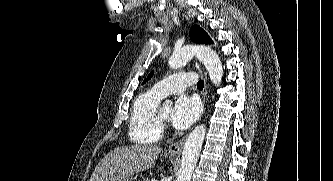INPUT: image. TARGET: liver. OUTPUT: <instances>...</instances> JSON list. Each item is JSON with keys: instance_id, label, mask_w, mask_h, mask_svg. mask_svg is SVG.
Here are the masks:
<instances>
[{"instance_id": "1", "label": "liver", "mask_w": 333, "mask_h": 181, "mask_svg": "<svg viewBox=\"0 0 333 181\" xmlns=\"http://www.w3.org/2000/svg\"><path fill=\"white\" fill-rule=\"evenodd\" d=\"M162 148L153 145H130L115 148L96 166L90 181H120L151 168Z\"/></svg>"}]
</instances>
